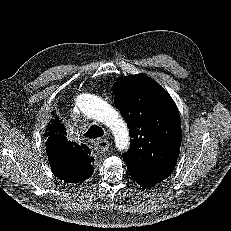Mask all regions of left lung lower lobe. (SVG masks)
Here are the masks:
<instances>
[{
    "instance_id": "1",
    "label": "left lung lower lobe",
    "mask_w": 231,
    "mask_h": 231,
    "mask_svg": "<svg viewBox=\"0 0 231 231\" xmlns=\"http://www.w3.org/2000/svg\"><path fill=\"white\" fill-rule=\"evenodd\" d=\"M128 168V167H127ZM132 178L142 187L151 188L167 178L172 171H156L128 168Z\"/></svg>"
}]
</instances>
